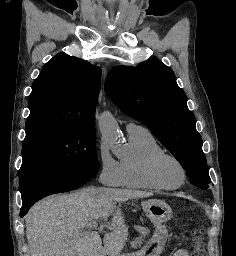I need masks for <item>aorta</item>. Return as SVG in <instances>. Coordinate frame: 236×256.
Returning a JSON list of instances; mask_svg holds the SVG:
<instances>
[{"mask_svg": "<svg viewBox=\"0 0 236 256\" xmlns=\"http://www.w3.org/2000/svg\"><path fill=\"white\" fill-rule=\"evenodd\" d=\"M99 129L103 140L114 145L119 143L122 139V134L119 130L117 121L113 115L106 111L99 118Z\"/></svg>", "mask_w": 236, "mask_h": 256, "instance_id": "1", "label": "aorta"}]
</instances>
